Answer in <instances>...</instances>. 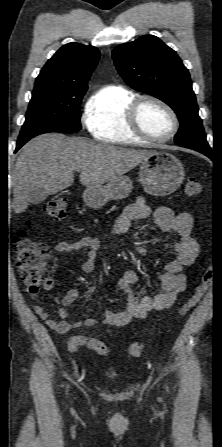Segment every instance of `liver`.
<instances>
[{
	"instance_id": "1",
	"label": "liver",
	"mask_w": 222,
	"mask_h": 447,
	"mask_svg": "<svg viewBox=\"0 0 222 447\" xmlns=\"http://www.w3.org/2000/svg\"><path fill=\"white\" fill-rule=\"evenodd\" d=\"M153 153L60 133L39 135L22 148L15 164L14 211L19 214L28 208L35 189L53 195L70 187L75 171H81L82 185L101 186L129 172Z\"/></svg>"
}]
</instances>
